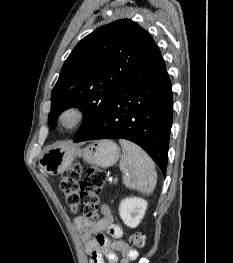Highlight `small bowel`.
Returning <instances> with one entry per match:
<instances>
[{
    "instance_id": "small-bowel-1",
    "label": "small bowel",
    "mask_w": 233,
    "mask_h": 263,
    "mask_svg": "<svg viewBox=\"0 0 233 263\" xmlns=\"http://www.w3.org/2000/svg\"><path fill=\"white\" fill-rule=\"evenodd\" d=\"M101 211L102 217L95 222L82 216L73 220L74 228L85 244L89 263H105V259L108 263H131L136 260L138 252L122 239L123 230L114 223L110 208L103 205Z\"/></svg>"
}]
</instances>
